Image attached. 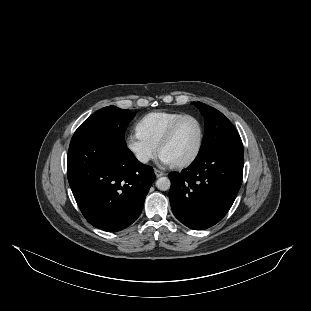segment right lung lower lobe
<instances>
[{
  "label": "right lung lower lobe",
  "instance_id": "98d812e1",
  "mask_svg": "<svg viewBox=\"0 0 311 311\" xmlns=\"http://www.w3.org/2000/svg\"><path fill=\"white\" fill-rule=\"evenodd\" d=\"M67 176L83 216L109 232L138 218L155 180L153 168L140 163L126 143L101 136L70 144Z\"/></svg>",
  "mask_w": 311,
  "mask_h": 311
}]
</instances>
